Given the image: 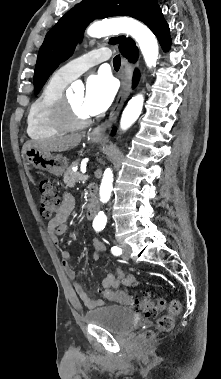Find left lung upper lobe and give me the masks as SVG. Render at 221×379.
Wrapping results in <instances>:
<instances>
[{"mask_svg": "<svg viewBox=\"0 0 221 379\" xmlns=\"http://www.w3.org/2000/svg\"><path fill=\"white\" fill-rule=\"evenodd\" d=\"M156 0H83L68 11L47 33L39 50L34 73V88L38 94L48 77L72 55L86 26L96 18L131 16L142 21ZM125 37L110 39L120 43Z\"/></svg>", "mask_w": 221, "mask_h": 379, "instance_id": "1", "label": "left lung upper lobe"}]
</instances>
